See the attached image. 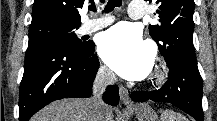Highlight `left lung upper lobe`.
<instances>
[{
	"mask_svg": "<svg viewBox=\"0 0 217 121\" xmlns=\"http://www.w3.org/2000/svg\"><path fill=\"white\" fill-rule=\"evenodd\" d=\"M156 4L161 25H149V32L161 55L166 62L175 58L196 62L192 39L194 0H156Z\"/></svg>",
	"mask_w": 217,
	"mask_h": 121,
	"instance_id": "obj_1",
	"label": "left lung upper lobe"
}]
</instances>
